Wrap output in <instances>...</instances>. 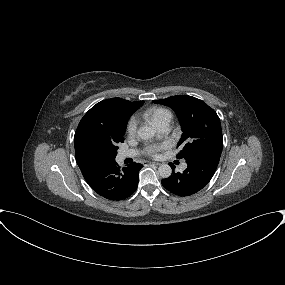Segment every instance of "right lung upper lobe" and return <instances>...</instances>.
Masks as SVG:
<instances>
[{"label": "right lung upper lobe", "mask_w": 285, "mask_h": 285, "mask_svg": "<svg viewBox=\"0 0 285 285\" xmlns=\"http://www.w3.org/2000/svg\"><path fill=\"white\" fill-rule=\"evenodd\" d=\"M143 103L121 98L107 99L94 105L83 116L74 136L75 156L81 172L107 163L90 155L89 143L98 139H114L125 133L130 116Z\"/></svg>", "instance_id": "1"}]
</instances>
